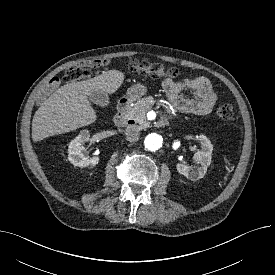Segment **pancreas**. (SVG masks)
<instances>
[{
    "instance_id": "cf45deb5",
    "label": "pancreas",
    "mask_w": 275,
    "mask_h": 275,
    "mask_svg": "<svg viewBox=\"0 0 275 275\" xmlns=\"http://www.w3.org/2000/svg\"><path fill=\"white\" fill-rule=\"evenodd\" d=\"M155 100L152 96H148L142 99H138L133 106L129 107L126 117L134 119L142 127L148 125L146 121V113L152 110ZM166 111L170 113L168 106L164 105Z\"/></svg>"
}]
</instances>
